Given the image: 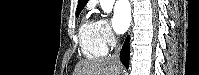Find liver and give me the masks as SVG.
Masks as SVG:
<instances>
[{
    "label": "liver",
    "instance_id": "liver-1",
    "mask_svg": "<svg viewBox=\"0 0 199 75\" xmlns=\"http://www.w3.org/2000/svg\"><path fill=\"white\" fill-rule=\"evenodd\" d=\"M122 66L113 58L84 60L77 64L74 75H121Z\"/></svg>",
    "mask_w": 199,
    "mask_h": 75
}]
</instances>
